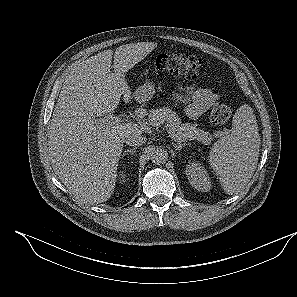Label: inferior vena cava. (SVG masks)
<instances>
[{
	"mask_svg": "<svg viewBox=\"0 0 297 297\" xmlns=\"http://www.w3.org/2000/svg\"><path fill=\"white\" fill-rule=\"evenodd\" d=\"M147 139L140 132H131L125 136L124 142L129 146H141L146 143Z\"/></svg>",
	"mask_w": 297,
	"mask_h": 297,
	"instance_id": "1",
	"label": "inferior vena cava"
}]
</instances>
